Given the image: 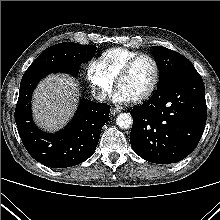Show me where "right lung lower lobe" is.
I'll return each mask as SVG.
<instances>
[{
    "label": "right lung lower lobe",
    "instance_id": "98d812e1",
    "mask_svg": "<svg viewBox=\"0 0 220 220\" xmlns=\"http://www.w3.org/2000/svg\"><path fill=\"white\" fill-rule=\"evenodd\" d=\"M52 72L77 75L78 68L33 69L24 73L15 109V121L28 153L38 162L53 168L75 166L95 151L101 129L109 120L110 107L82 100L72 121L62 131L49 134L36 128L31 115L32 93L41 78Z\"/></svg>",
    "mask_w": 220,
    "mask_h": 220
}]
</instances>
